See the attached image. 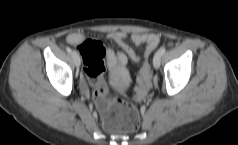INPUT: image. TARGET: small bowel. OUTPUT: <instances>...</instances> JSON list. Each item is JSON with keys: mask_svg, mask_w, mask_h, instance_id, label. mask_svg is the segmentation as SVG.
Masks as SVG:
<instances>
[{"mask_svg": "<svg viewBox=\"0 0 238 145\" xmlns=\"http://www.w3.org/2000/svg\"><path fill=\"white\" fill-rule=\"evenodd\" d=\"M108 37L116 42L123 50L115 54L111 49L105 48V57L109 66L118 67L124 66L127 63V58H130L134 62H139L140 57L134 51V49L126 42L127 34L121 30H114L108 34ZM87 38L81 33H71L66 37V41L73 45H79ZM131 41L135 45H145V57L149 59L151 53L156 48L159 42V38L154 33L146 32H133L131 34Z\"/></svg>", "mask_w": 238, "mask_h": 145, "instance_id": "obj_1", "label": "small bowel"}]
</instances>
